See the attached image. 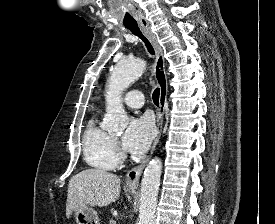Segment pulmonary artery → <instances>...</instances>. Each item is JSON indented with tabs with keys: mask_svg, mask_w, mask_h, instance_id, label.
<instances>
[{
	"mask_svg": "<svg viewBox=\"0 0 275 224\" xmlns=\"http://www.w3.org/2000/svg\"><path fill=\"white\" fill-rule=\"evenodd\" d=\"M124 102L129 107L141 108L144 106V95L138 90L130 91L125 96Z\"/></svg>",
	"mask_w": 275,
	"mask_h": 224,
	"instance_id": "obj_1",
	"label": "pulmonary artery"
}]
</instances>
